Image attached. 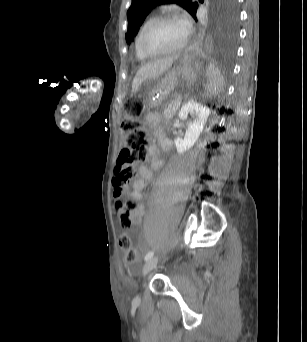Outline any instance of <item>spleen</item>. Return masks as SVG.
Returning a JSON list of instances; mask_svg holds the SVG:
<instances>
[{"label": "spleen", "mask_w": 307, "mask_h": 342, "mask_svg": "<svg viewBox=\"0 0 307 342\" xmlns=\"http://www.w3.org/2000/svg\"><path fill=\"white\" fill-rule=\"evenodd\" d=\"M221 71L218 66L211 62L207 66L208 83H205V90H219L220 84L224 83V78L220 77Z\"/></svg>", "instance_id": "3e777b00"}]
</instances>
